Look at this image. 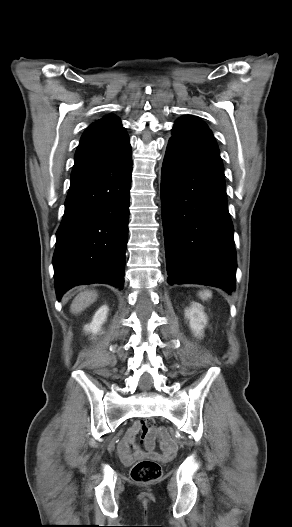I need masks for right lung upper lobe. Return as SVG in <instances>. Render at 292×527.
Returning a JSON list of instances; mask_svg holds the SVG:
<instances>
[{"label":"right lung upper lobe","mask_w":292,"mask_h":527,"mask_svg":"<svg viewBox=\"0 0 292 527\" xmlns=\"http://www.w3.org/2000/svg\"><path fill=\"white\" fill-rule=\"evenodd\" d=\"M129 143L120 119L109 114L92 123L83 133L76 154L114 151ZM75 154V155H76Z\"/></svg>","instance_id":"1"}]
</instances>
